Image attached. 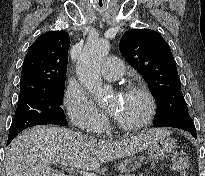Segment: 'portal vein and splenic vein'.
<instances>
[{"label":"portal vein and splenic vein","mask_w":205,"mask_h":176,"mask_svg":"<svg viewBox=\"0 0 205 176\" xmlns=\"http://www.w3.org/2000/svg\"><path fill=\"white\" fill-rule=\"evenodd\" d=\"M60 166L66 168L68 166V163L66 161H62L60 162Z\"/></svg>","instance_id":"1"}]
</instances>
